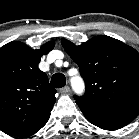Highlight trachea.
Listing matches in <instances>:
<instances>
[{"mask_svg": "<svg viewBox=\"0 0 139 139\" xmlns=\"http://www.w3.org/2000/svg\"><path fill=\"white\" fill-rule=\"evenodd\" d=\"M66 84V78L61 73H56L51 78V85L55 88H61L65 86Z\"/></svg>", "mask_w": 139, "mask_h": 139, "instance_id": "3493384b", "label": "trachea"}]
</instances>
